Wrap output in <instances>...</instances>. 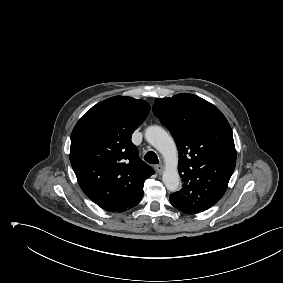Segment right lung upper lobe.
Returning a JSON list of instances; mask_svg holds the SVG:
<instances>
[{
  "instance_id": "right-lung-upper-lobe-1",
  "label": "right lung upper lobe",
  "mask_w": 283,
  "mask_h": 283,
  "mask_svg": "<svg viewBox=\"0 0 283 283\" xmlns=\"http://www.w3.org/2000/svg\"><path fill=\"white\" fill-rule=\"evenodd\" d=\"M149 111L143 100L112 97L93 106L72 131L70 162L78 183L104 210L122 212L136 206L144 181L154 174L131 142Z\"/></svg>"
}]
</instances>
